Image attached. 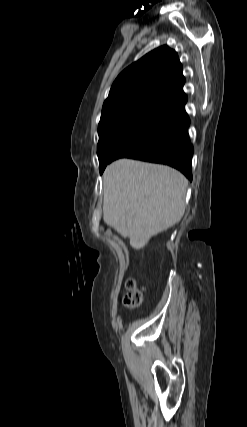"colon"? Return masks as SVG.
Segmentation results:
<instances>
[{
    "instance_id": "colon-1",
    "label": "colon",
    "mask_w": 247,
    "mask_h": 427,
    "mask_svg": "<svg viewBox=\"0 0 247 427\" xmlns=\"http://www.w3.org/2000/svg\"><path fill=\"white\" fill-rule=\"evenodd\" d=\"M125 286L127 292L123 297V305L129 309L138 307L142 302L143 288L133 278L128 279Z\"/></svg>"
}]
</instances>
